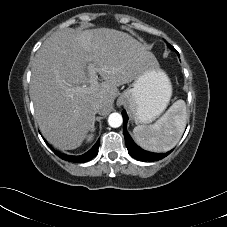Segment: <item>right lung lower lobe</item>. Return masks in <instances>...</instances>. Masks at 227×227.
<instances>
[{
	"label": "right lung lower lobe",
	"instance_id": "98d812e1",
	"mask_svg": "<svg viewBox=\"0 0 227 227\" xmlns=\"http://www.w3.org/2000/svg\"><path fill=\"white\" fill-rule=\"evenodd\" d=\"M98 148H99V140L96 142V144L88 152H86L85 154L80 155V156H70V155H66V154L57 152L53 148H51V149L56 155H58L63 160L82 163V162L89 161L93 157H95L98 154Z\"/></svg>",
	"mask_w": 227,
	"mask_h": 227
}]
</instances>
